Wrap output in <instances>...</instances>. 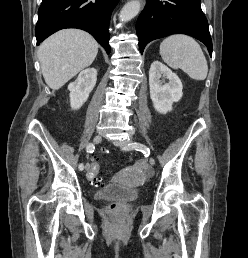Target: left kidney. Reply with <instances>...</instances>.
<instances>
[{
    "instance_id": "1",
    "label": "left kidney",
    "mask_w": 248,
    "mask_h": 258,
    "mask_svg": "<svg viewBox=\"0 0 248 258\" xmlns=\"http://www.w3.org/2000/svg\"><path fill=\"white\" fill-rule=\"evenodd\" d=\"M169 80L168 83L160 80L161 77ZM150 97L155 110L166 114L172 110L174 102L182 98L183 85L181 80L166 65L160 61H154L149 70Z\"/></svg>"
}]
</instances>
